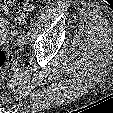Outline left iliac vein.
I'll list each match as a JSON object with an SVG mask.
<instances>
[{"mask_svg": "<svg viewBox=\"0 0 113 113\" xmlns=\"http://www.w3.org/2000/svg\"><path fill=\"white\" fill-rule=\"evenodd\" d=\"M29 42V39L26 35H21L19 36L18 40H17V44L19 46H24L25 44H27Z\"/></svg>", "mask_w": 113, "mask_h": 113, "instance_id": "1", "label": "left iliac vein"}]
</instances>
